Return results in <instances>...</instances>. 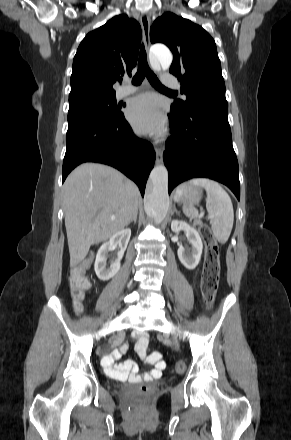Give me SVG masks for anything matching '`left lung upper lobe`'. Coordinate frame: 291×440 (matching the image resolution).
I'll use <instances>...</instances> for the list:
<instances>
[{
	"label": "left lung upper lobe",
	"mask_w": 291,
	"mask_h": 440,
	"mask_svg": "<svg viewBox=\"0 0 291 440\" xmlns=\"http://www.w3.org/2000/svg\"><path fill=\"white\" fill-rule=\"evenodd\" d=\"M150 40L172 51L170 73L180 80L186 95V100L171 105L172 112L184 115L193 107L228 109L216 44L201 26L167 12L154 21Z\"/></svg>",
	"instance_id": "1"
}]
</instances>
